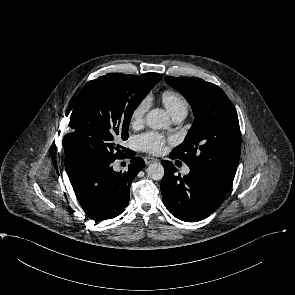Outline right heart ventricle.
Masks as SVG:
<instances>
[{"label":"right heart ventricle","mask_w":295,"mask_h":295,"mask_svg":"<svg viewBox=\"0 0 295 295\" xmlns=\"http://www.w3.org/2000/svg\"><path fill=\"white\" fill-rule=\"evenodd\" d=\"M161 101L173 118L185 117L189 110L187 99L178 91L167 89L161 93Z\"/></svg>","instance_id":"obj_1"}]
</instances>
